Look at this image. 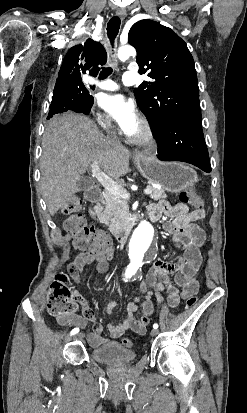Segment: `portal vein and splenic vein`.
Masks as SVG:
<instances>
[{
    "instance_id": "1",
    "label": "portal vein and splenic vein",
    "mask_w": 247,
    "mask_h": 413,
    "mask_svg": "<svg viewBox=\"0 0 247 413\" xmlns=\"http://www.w3.org/2000/svg\"><path fill=\"white\" fill-rule=\"evenodd\" d=\"M98 164V160H93L91 164V170L93 172L92 176H96L97 180L105 186L106 190L112 192V194H120L122 198H130V192H127L124 186H121V184L112 180L108 174H105ZM144 192L145 194H152L153 190L152 188H144Z\"/></svg>"
}]
</instances>
